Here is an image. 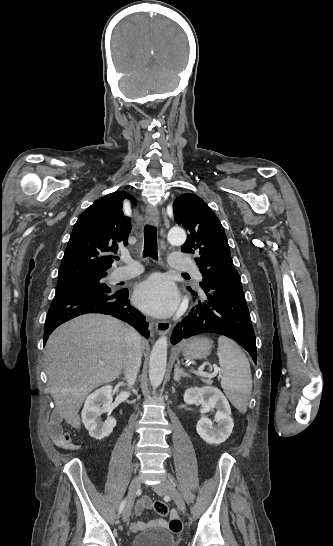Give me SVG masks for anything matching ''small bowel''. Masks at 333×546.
Here are the masks:
<instances>
[{
  "label": "small bowel",
  "mask_w": 333,
  "mask_h": 546,
  "mask_svg": "<svg viewBox=\"0 0 333 546\" xmlns=\"http://www.w3.org/2000/svg\"><path fill=\"white\" fill-rule=\"evenodd\" d=\"M74 426H78V424L74 422ZM48 431L53 443L56 446L73 451H79L81 449L79 445L72 443L69 434L63 432L61 417L51 418L48 426ZM150 506V500L148 498H143L138 505V512L142 511L143 509H149ZM169 525L171 529L175 532L181 529V524L178 520L177 512L175 510H172L170 513ZM144 526L145 524L143 522L137 521L136 523H133L131 525L130 529L132 532H137L141 530Z\"/></svg>",
  "instance_id": "1"
}]
</instances>
